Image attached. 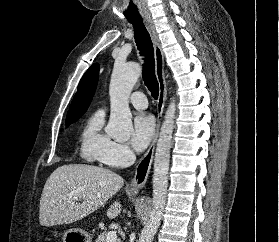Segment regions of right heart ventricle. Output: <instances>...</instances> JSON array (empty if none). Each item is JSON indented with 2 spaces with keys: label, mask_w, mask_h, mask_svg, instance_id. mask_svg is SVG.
Instances as JSON below:
<instances>
[{
  "label": "right heart ventricle",
  "mask_w": 279,
  "mask_h": 242,
  "mask_svg": "<svg viewBox=\"0 0 279 242\" xmlns=\"http://www.w3.org/2000/svg\"><path fill=\"white\" fill-rule=\"evenodd\" d=\"M104 112L97 110L84 123L80 133V155L88 161H101L113 141L104 132Z\"/></svg>",
  "instance_id": "obj_1"
}]
</instances>
